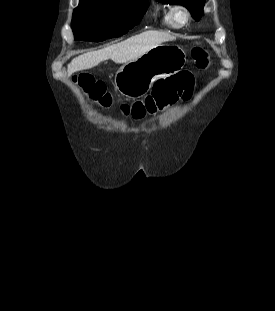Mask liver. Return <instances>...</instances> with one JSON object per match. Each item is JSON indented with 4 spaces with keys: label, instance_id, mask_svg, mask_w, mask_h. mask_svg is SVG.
<instances>
[{
    "label": "liver",
    "instance_id": "obj_1",
    "mask_svg": "<svg viewBox=\"0 0 275 311\" xmlns=\"http://www.w3.org/2000/svg\"><path fill=\"white\" fill-rule=\"evenodd\" d=\"M174 37L159 31H145L120 43L91 51L74 58L68 65V75L81 70L91 69L100 62L111 59L115 63H126L134 60L149 50L171 41Z\"/></svg>",
    "mask_w": 275,
    "mask_h": 311
}]
</instances>
